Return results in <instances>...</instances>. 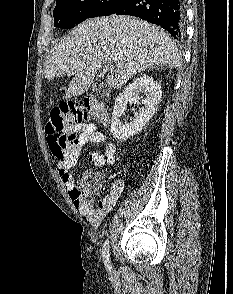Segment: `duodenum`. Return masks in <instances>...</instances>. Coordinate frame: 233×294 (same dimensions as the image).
I'll use <instances>...</instances> for the list:
<instances>
[{"instance_id":"duodenum-1","label":"duodenum","mask_w":233,"mask_h":294,"mask_svg":"<svg viewBox=\"0 0 233 294\" xmlns=\"http://www.w3.org/2000/svg\"><path fill=\"white\" fill-rule=\"evenodd\" d=\"M84 105L89 110L91 115L100 122H106L108 112L103 103L98 101L94 96H87L84 99Z\"/></svg>"}]
</instances>
